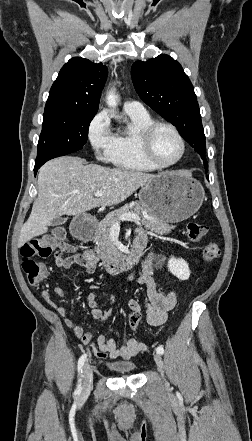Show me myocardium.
Segmentation results:
<instances>
[{
    "label": "myocardium",
    "instance_id": "myocardium-1",
    "mask_svg": "<svg viewBox=\"0 0 252 441\" xmlns=\"http://www.w3.org/2000/svg\"><path fill=\"white\" fill-rule=\"evenodd\" d=\"M159 128H167L172 131L181 144V153L172 162L161 163L154 155L153 138ZM139 144L144 158L157 169H166L178 164L184 158L187 149L186 141L177 127L165 121H154L146 126L140 133Z\"/></svg>",
    "mask_w": 252,
    "mask_h": 441
}]
</instances>
